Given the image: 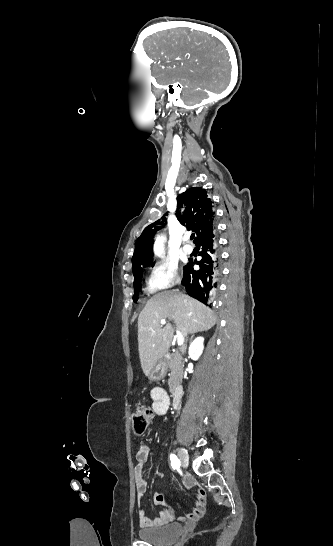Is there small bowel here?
Wrapping results in <instances>:
<instances>
[{"mask_svg":"<svg viewBox=\"0 0 333 546\" xmlns=\"http://www.w3.org/2000/svg\"><path fill=\"white\" fill-rule=\"evenodd\" d=\"M150 397L152 399V410L158 416H164L170 408L171 400L167 391L162 387H154L151 389ZM165 421V420H163ZM150 454L148 446L141 445L137 451L136 459L137 466L135 468V485H136V498L138 503L139 522L141 527L154 528L161 527L170 523L174 518L173 509H164L161 511L160 516L156 518H148L145 514L143 507V499L148 487V480L143 472L144 464L147 462ZM183 485L186 488H192L195 486L194 481L186 476L183 479ZM166 501V496L160 493L155 494L154 503L156 505H162ZM206 508V493L202 488H198L196 491L195 507L186 518L191 521H196L202 517Z\"/></svg>","mask_w":333,"mask_h":546,"instance_id":"c3829d8e","label":"small bowel"}]
</instances>
